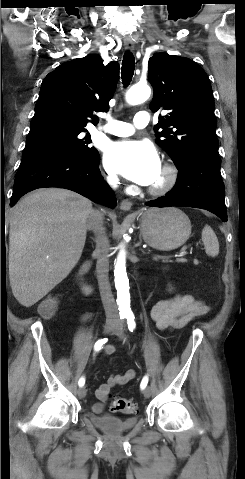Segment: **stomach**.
Here are the masks:
<instances>
[{
    "instance_id": "1",
    "label": "stomach",
    "mask_w": 245,
    "mask_h": 479,
    "mask_svg": "<svg viewBox=\"0 0 245 479\" xmlns=\"http://www.w3.org/2000/svg\"><path fill=\"white\" fill-rule=\"evenodd\" d=\"M191 222L178 208H152L141 216V234L151 247L169 251L182 246L190 237Z\"/></svg>"
}]
</instances>
